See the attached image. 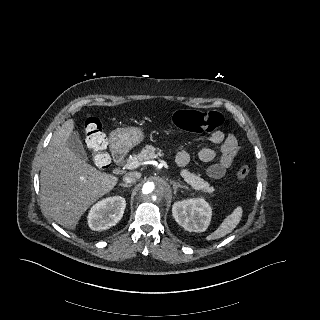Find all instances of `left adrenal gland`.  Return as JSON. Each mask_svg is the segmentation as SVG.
I'll use <instances>...</instances> for the list:
<instances>
[{
  "instance_id": "a2214340",
  "label": "left adrenal gland",
  "mask_w": 320,
  "mask_h": 320,
  "mask_svg": "<svg viewBox=\"0 0 320 320\" xmlns=\"http://www.w3.org/2000/svg\"><path fill=\"white\" fill-rule=\"evenodd\" d=\"M171 183L173 185L174 192H177L178 188L188 189V187L186 185H181L180 183H177L174 181H171Z\"/></svg>"
}]
</instances>
